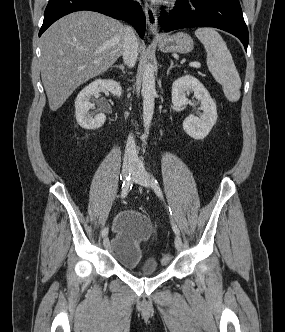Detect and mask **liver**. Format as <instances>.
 Segmentation results:
<instances>
[{"instance_id": "obj_1", "label": "liver", "mask_w": 285, "mask_h": 332, "mask_svg": "<svg viewBox=\"0 0 285 332\" xmlns=\"http://www.w3.org/2000/svg\"><path fill=\"white\" fill-rule=\"evenodd\" d=\"M125 26L92 11L66 15L41 37V78L52 111L122 55ZM139 45V44H138Z\"/></svg>"}]
</instances>
